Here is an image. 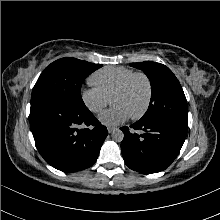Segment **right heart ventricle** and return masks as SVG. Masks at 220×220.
<instances>
[{
	"label": "right heart ventricle",
	"mask_w": 220,
	"mask_h": 220,
	"mask_svg": "<svg viewBox=\"0 0 220 220\" xmlns=\"http://www.w3.org/2000/svg\"><path fill=\"white\" fill-rule=\"evenodd\" d=\"M133 73L134 70L128 67H104L92 74L90 83L110 98L114 90Z\"/></svg>",
	"instance_id": "obj_1"
}]
</instances>
